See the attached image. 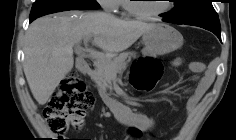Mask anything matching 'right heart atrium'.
<instances>
[{"label": "right heart atrium", "mask_w": 236, "mask_h": 140, "mask_svg": "<svg viewBox=\"0 0 236 140\" xmlns=\"http://www.w3.org/2000/svg\"><path fill=\"white\" fill-rule=\"evenodd\" d=\"M99 3L107 12H116L118 10L117 0H99Z\"/></svg>", "instance_id": "obj_1"}]
</instances>
